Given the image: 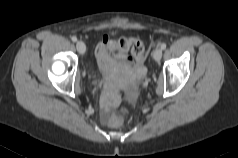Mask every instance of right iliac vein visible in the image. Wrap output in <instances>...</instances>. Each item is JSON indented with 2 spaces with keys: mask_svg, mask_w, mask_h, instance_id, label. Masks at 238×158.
<instances>
[{
  "mask_svg": "<svg viewBox=\"0 0 238 158\" xmlns=\"http://www.w3.org/2000/svg\"><path fill=\"white\" fill-rule=\"evenodd\" d=\"M76 48H77V50L80 54H84L85 51H86V46H85V43L83 41H78L76 43Z\"/></svg>",
  "mask_w": 238,
  "mask_h": 158,
  "instance_id": "obj_1",
  "label": "right iliac vein"
}]
</instances>
